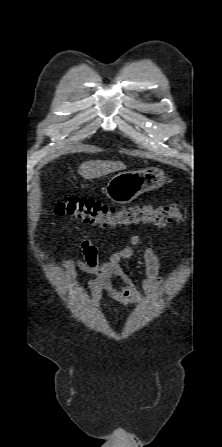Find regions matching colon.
Returning a JSON list of instances; mask_svg holds the SVG:
<instances>
[{
	"label": "colon",
	"mask_w": 222,
	"mask_h": 447,
	"mask_svg": "<svg viewBox=\"0 0 222 447\" xmlns=\"http://www.w3.org/2000/svg\"><path fill=\"white\" fill-rule=\"evenodd\" d=\"M54 210L57 215L69 216L84 224L104 228L141 224L164 227L181 220L183 206L177 201L158 208L140 204L117 207L92 198L70 196L57 202Z\"/></svg>",
	"instance_id": "1"
}]
</instances>
